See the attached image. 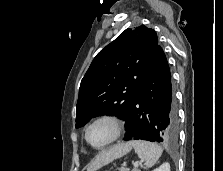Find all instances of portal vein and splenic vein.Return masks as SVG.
Here are the masks:
<instances>
[{"mask_svg":"<svg viewBox=\"0 0 223 171\" xmlns=\"http://www.w3.org/2000/svg\"><path fill=\"white\" fill-rule=\"evenodd\" d=\"M133 165H134V167H138L139 166V164L137 162H135Z\"/></svg>","mask_w":223,"mask_h":171,"instance_id":"1","label":"portal vein and splenic vein"}]
</instances>
